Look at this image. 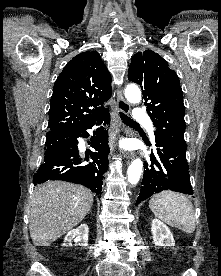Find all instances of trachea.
<instances>
[{
	"mask_svg": "<svg viewBox=\"0 0 221 276\" xmlns=\"http://www.w3.org/2000/svg\"><path fill=\"white\" fill-rule=\"evenodd\" d=\"M120 117H121V119L123 120V122L125 123V124H129V125H137L138 123L137 122H135V121H133L131 118H129L128 116H126L124 113H121L120 112Z\"/></svg>",
	"mask_w": 221,
	"mask_h": 276,
	"instance_id": "3493384b",
	"label": "trachea"
}]
</instances>
